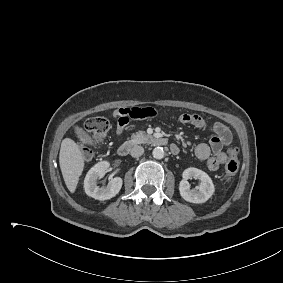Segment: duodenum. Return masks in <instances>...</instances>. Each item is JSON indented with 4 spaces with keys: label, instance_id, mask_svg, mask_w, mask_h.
I'll return each instance as SVG.
<instances>
[{
    "label": "duodenum",
    "instance_id": "duodenum-1",
    "mask_svg": "<svg viewBox=\"0 0 283 283\" xmlns=\"http://www.w3.org/2000/svg\"><path fill=\"white\" fill-rule=\"evenodd\" d=\"M150 142L155 146H166L168 144V140L165 137H152ZM135 146V143L132 141H127L122 143L117 148V153L120 156H126ZM170 150L173 154H177L179 152V148L175 144L170 145Z\"/></svg>",
    "mask_w": 283,
    "mask_h": 283
}]
</instances>
